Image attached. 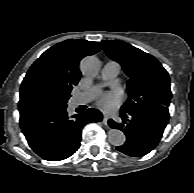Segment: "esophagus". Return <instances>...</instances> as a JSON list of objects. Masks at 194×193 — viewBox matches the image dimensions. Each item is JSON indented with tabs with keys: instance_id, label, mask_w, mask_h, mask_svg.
<instances>
[{
	"instance_id": "obj_1",
	"label": "esophagus",
	"mask_w": 194,
	"mask_h": 193,
	"mask_svg": "<svg viewBox=\"0 0 194 193\" xmlns=\"http://www.w3.org/2000/svg\"><path fill=\"white\" fill-rule=\"evenodd\" d=\"M108 116L107 115H104L103 116V123L105 124V125H107V123H108Z\"/></svg>"
}]
</instances>
